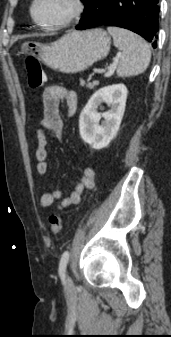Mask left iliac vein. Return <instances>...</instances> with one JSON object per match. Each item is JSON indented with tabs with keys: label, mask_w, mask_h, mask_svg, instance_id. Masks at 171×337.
<instances>
[{
	"label": "left iliac vein",
	"mask_w": 171,
	"mask_h": 337,
	"mask_svg": "<svg viewBox=\"0 0 171 337\" xmlns=\"http://www.w3.org/2000/svg\"><path fill=\"white\" fill-rule=\"evenodd\" d=\"M66 282H67V284H71L72 283V281H71V279H70L69 276L66 277Z\"/></svg>",
	"instance_id": "4c4485c4"
}]
</instances>
